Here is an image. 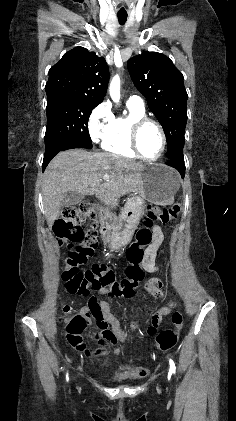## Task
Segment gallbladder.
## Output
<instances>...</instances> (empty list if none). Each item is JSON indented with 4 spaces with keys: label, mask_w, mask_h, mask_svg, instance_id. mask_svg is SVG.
I'll return each instance as SVG.
<instances>
[{
    "label": "gallbladder",
    "mask_w": 236,
    "mask_h": 421,
    "mask_svg": "<svg viewBox=\"0 0 236 421\" xmlns=\"http://www.w3.org/2000/svg\"><path fill=\"white\" fill-rule=\"evenodd\" d=\"M82 198H84V194H81V192H77V190H67L61 200L60 206L78 204V202H81Z\"/></svg>",
    "instance_id": "bac80fb5"
}]
</instances>
